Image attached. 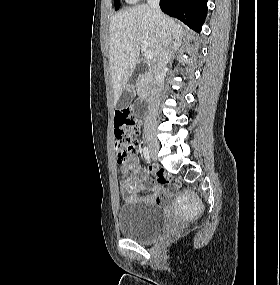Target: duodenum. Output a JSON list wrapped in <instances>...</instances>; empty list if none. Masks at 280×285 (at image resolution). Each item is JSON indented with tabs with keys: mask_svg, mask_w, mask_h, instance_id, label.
Returning <instances> with one entry per match:
<instances>
[{
	"mask_svg": "<svg viewBox=\"0 0 280 285\" xmlns=\"http://www.w3.org/2000/svg\"><path fill=\"white\" fill-rule=\"evenodd\" d=\"M148 97H149V94L145 93V98L148 99Z\"/></svg>",
	"mask_w": 280,
	"mask_h": 285,
	"instance_id": "1",
	"label": "duodenum"
}]
</instances>
